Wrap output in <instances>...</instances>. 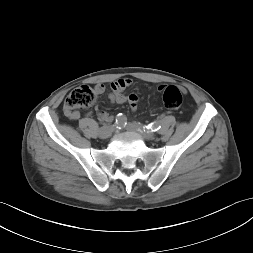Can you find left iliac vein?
Masks as SVG:
<instances>
[{
	"label": "left iliac vein",
	"mask_w": 253,
	"mask_h": 253,
	"mask_svg": "<svg viewBox=\"0 0 253 253\" xmlns=\"http://www.w3.org/2000/svg\"><path fill=\"white\" fill-rule=\"evenodd\" d=\"M126 129L131 132H135L139 134L142 138L146 140H154L156 138L155 134L146 130L141 124L139 123H131L126 126Z\"/></svg>",
	"instance_id": "1"
}]
</instances>
